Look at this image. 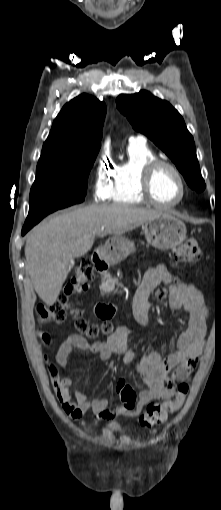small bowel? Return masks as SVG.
Masks as SVG:
<instances>
[{
  "instance_id": "obj_1",
  "label": "small bowel",
  "mask_w": 221,
  "mask_h": 510,
  "mask_svg": "<svg viewBox=\"0 0 221 510\" xmlns=\"http://www.w3.org/2000/svg\"><path fill=\"white\" fill-rule=\"evenodd\" d=\"M161 283L170 284L169 308L173 311L184 310L187 314V328L179 332L174 339L175 351L161 355L149 353L141 358L129 347L130 330L126 327L117 329L107 339L88 343L78 334L68 336L59 346L55 360L50 366L55 376L53 381L58 400L63 411L72 419L79 420L85 413L92 411L95 417L114 421L119 416H137L154 400L170 399L175 394V382L186 379L196 368L202 354L207 331L208 311L202 293L193 283L183 282L165 265L156 266L143 277L134 299L135 318L140 325L148 323V297L151 291ZM89 351L102 361L115 355L133 366L142 376L146 389L137 396L123 377L116 382L122 404L109 407L105 398L89 400L80 391L71 392L73 380L61 375L71 359L73 351Z\"/></svg>"
}]
</instances>
